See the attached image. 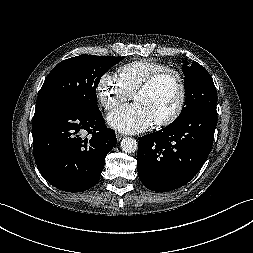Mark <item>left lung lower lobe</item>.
I'll return each mask as SVG.
<instances>
[{
  "label": "left lung lower lobe",
  "mask_w": 253,
  "mask_h": 253,
  "mask_svg": "<svg viewBox=\"0 0 253 253\" xmlns=\"http://www.w3.org/2000/svg\"><path fill=\"white\" fill-rule=\"evenodd\" d=\"M216 125V110L202 108L175 124L140 137L137 169L141 182L158 192L188 183L210 153Z\"/></svg>",
  "instance_id": "left-lung-lower-lobe-1"
}]
</instances>
